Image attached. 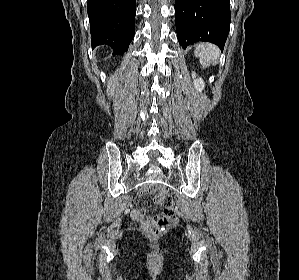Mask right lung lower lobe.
<instances>
[{
  "mask_svg": "<svg viewBox=\"0 0 299 280\" xmlns=\"http://www.w3.org/2000/svg\"><path fill=\"white\" fill-rule=\"evenodd\" d=\"M136 0H88L91 45L107 44L113 54L127 51L135 33Z\"/></svg>",
  "mask_w": 299,
  "mask_h": 280,
  "instance_id": "1",
  "label": "right lung lower lobe"
}]
</instances>
